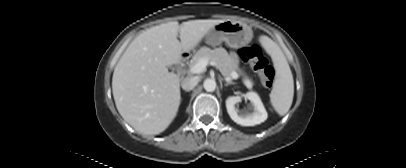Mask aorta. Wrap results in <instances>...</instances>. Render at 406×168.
<instances>
[{
  "mask_svg": "<svg viewBox=\"0 0 406 168\" xmlns=\"http://www.w3.org/2000/svg\"><path fill=\"white\" fill-rule=\"evenodd\" d=\"M203 86L206 91L213 92L216 89V82L213 79H206Z\"/></svg>",
  "mask_w": 406,
  "mask_h": 168,
  "instance_id": "1",
  "label": "aorta"
}]
</instances>
